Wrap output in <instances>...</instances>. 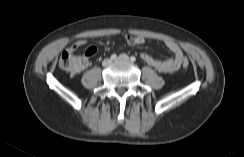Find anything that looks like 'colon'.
<instances>
[{"mask_svg":"<svg viewBox=\"0 0 244 157\" xmlns=\"http://www.w3.org/2000/svg\"><path fill=\"white\" fill-rule=\"evenodd\" d=\"M93 54V48H88L84 53L80 54L75 47H71L62 53L59 60V66L71 76H76L85 69L88 63V58ZM189 63L187 57L182 58L181 64L183 68H187Z\"/></svg>","mask_w":244,"mask_h":157,"instance_id":"colon-1","label":"colon"}]
</instances>
